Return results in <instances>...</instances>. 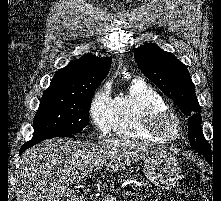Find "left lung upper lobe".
<instances>
[{
    "label": "left lung upper lobe",
    "instance_id": "5c2ea615",
    "mask_svg": "<svg viewBox=\"0 0 221 201\" xmlns=\"http://www.w3.org/2000/svg\"><path fill=\"white\" fill-rule=\"evenodd\" d=\"M134 58L144 75L189 116L188 138L191 147L205 157H212L210 145L202 133L200 105L187 67L156 44L140 46L134 51Z\"/></svg>",
    "mask_w": 221,
    "mask_h": 201
}]
</instances>
